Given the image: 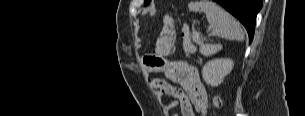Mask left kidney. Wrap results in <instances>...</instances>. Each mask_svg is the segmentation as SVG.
<instances>
[{"label":"left kidney","instance_id":"left-kidney-1","mask_svg":"<svg viewBox=\"0 0 305 116\" xmlns=\"http://www.w3.org/2000/svg\"><path fill=\"white\" fill-rule=\"evenodd\" d=\"M234 62L228 58H217L208 61L202 69V77L206 84L213 87L220 85L225 76L233 69Z\"/></svg>","mask_w":305,"mask_h":116}]
</instances>
